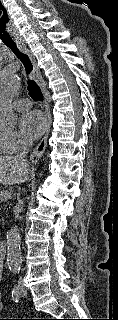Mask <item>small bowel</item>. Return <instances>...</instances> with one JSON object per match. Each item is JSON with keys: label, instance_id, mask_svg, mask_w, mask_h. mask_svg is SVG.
<instances>
[{"label": "small bowel", "instance_id": "obj_1", "mask_svg": "<svg viewBox=\"0 0 118 320\" xmlns=\"http://www.w3.org/2000/svg\"><path fill=\"white\" fill-rule=\"evenodd\" d=\"M2 279V264L0 263V281ZM3 309V303H2V299H1V293H0V313Z\"/></svg>", "mask_w": 118, "mask_h": 320}]
</instances>
